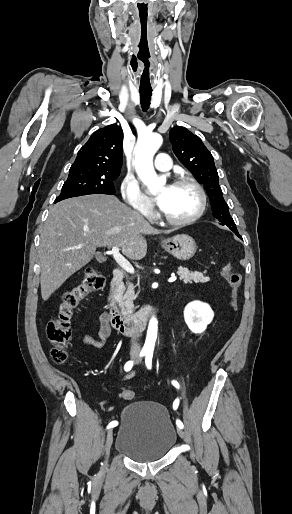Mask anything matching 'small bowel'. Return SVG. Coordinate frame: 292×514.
Here are the masks:
<instances>
[{
  "mask_svg": "<svg viewBox=\"0 0 292 514\" xmlns=\"http://www.w3.org/2000/svg\"><path fill=\"white\" fill-rule=\"evenodd\" d=\"M97 331H98V337H93L91 335H83L80 337L79 341L81 344L83 345H88V346H92L94 348H103L107 342V340L110 338V336L112 335V327L109 323V320H108V314L106 311L102 312L100 317H99V323H98V326H97ZM132 376V374H127L125 376V378H130ZM98 404L99 405H102L104 404V401L101 400V397H98ZM108 404L109 405H117L118 404V401L117 400H109L108 401Z\"/></svg>",
  "mask_w": 292,
  "mask_h": 514,
  "instance_id": "obj_1",
  "label": "small bowel"
}]
</instances>
